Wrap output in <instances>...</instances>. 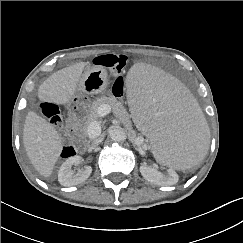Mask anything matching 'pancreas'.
<instances>
[{"label": "pancreas", "mask_w": 243, "mask_h": 243, "mask_svg": "<svg viewBox=\"0 0 243 243\" xmlns=\"http://www.w3.org/2000/svg\"><path fill=\"white\" fill-rule=\"evenodd\" d=\"M107 104L111 107L115 117H117L123 123H130L128 112L123 104L116 100L113 96H101L92 102L89 108V115L87 121L83 125L84 134L88 135V127L90 123L96 121L99 118L98 109L101 105Z\"/></svg>", "instance_id": "pancreas-1"}]
</instances>
